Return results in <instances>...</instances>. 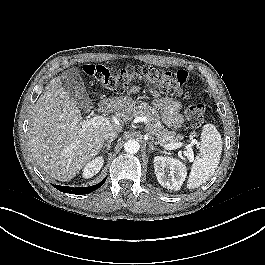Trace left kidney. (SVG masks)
<instances>
[{"mask_svg": "<svg viewBox=\"0 0 265 265\" xmlns=\"http://www.w3.org/2000/svg\"><path fill=\"white\" fill-rule=\"evenodd\" d=\"M154 169L160 185L174 191L181 188L187 174L185 165L172 157L156 156ZM166 172L168 175L165 174Z\"/></svg>", "mask_w": 265, "mask_h": 265, "instance_id": "5707ae66", "label": "left kidney"}]
</instances>
